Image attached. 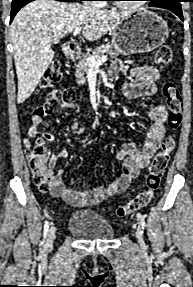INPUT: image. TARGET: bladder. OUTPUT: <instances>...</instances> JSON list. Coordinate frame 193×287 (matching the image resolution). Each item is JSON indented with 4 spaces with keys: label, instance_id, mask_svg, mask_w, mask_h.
<instances>
[{
    "label": "bladder",
    "instance_id": "1",
    "mask_svg": "<svg viewBox=\"0 0 193 287\" xmlns=\"http://www.w3.org/2000/svg\"><path fill=\"white\" fill-rule=\"evenodd\" d=\"M68 230L85 240H110L115 231L111 224L99 213L91 210H78L68 221Z\"/></svg>",
    "mask_w": 193,
    "mask_h": 287
}]
</instances>
